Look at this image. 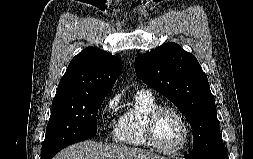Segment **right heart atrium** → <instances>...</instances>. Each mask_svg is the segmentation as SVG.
I'll list each match as a JSON object with an SVG mask.
<instances>
[{"mask_svg":"<svg viewBox=\"0 0 253 159\" xmlns=\"http://www.w3.org/2000/svg\"><path fill=\"white\" fill-rule=\"evenodd\" d=\"M119 97L117 95H113L105 102L103 106V112L108 116L113 114L118 105Z\"/></svg>","mask_w":253,"mask_h":159,"instance_id":"right-heart-atrium-1","label":"right heart atrium"}]
</instances>
